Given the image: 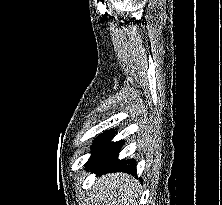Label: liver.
<instances>
[{"label": "liver", "mask_w": 222, "mask_h": 205, "mask_svg": "<svg viewBox=\"0 0 222 205\" xmlns=\"http://www.w3.org/2000/svg\"><path fill=\"white\" fill-rule=\"evenodd\" d=\"M92 205H137L139 183L126 173L105 174L92 186Z\"/></svg>", "instance_id": "liver-1"}]
</instances>
